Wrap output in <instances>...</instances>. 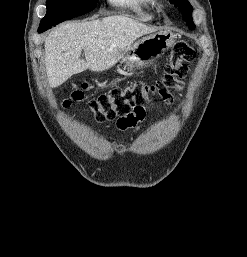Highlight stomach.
Wrapping results in <instances>:
<instances>
[{
  "mask_svg": "<svg viewBox=\"0 0 247 257\" xmlns=\"http://www.w3.org/2000/svg\"><path fill=\"white\" fill-rule=\"evenodd\" d=\"M175 42V36L169 32H158L138 40L129 52L123 55L125 69L142 67L160 57Z\"/></svg>",
  "mask_w": 247,
  "mask_h": 257,
  "instance_id": "1",
  "label": "stomach"
}]
</instances>
